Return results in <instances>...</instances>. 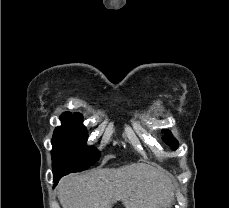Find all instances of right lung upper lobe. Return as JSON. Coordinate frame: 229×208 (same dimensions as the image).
<instances>
[{
    "label": "right lung upper lobe",
    "mask_w": 229,
    "mask_h": 208,
    "mask_svg": "<svg viewBox=\"0 0 229 208\" xmlns=\"http://www.w3.org/2000/svg\"><path fill=\"white\" fill-rule=\"evenodd\" d=\"M62 116H70V117H78V118H82V115L80 113H70V112H65L62 114Z\"/></svg>",
    "instance_id": "right-lung-upper-lobe-1"
}]
</instances>
